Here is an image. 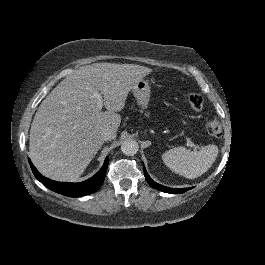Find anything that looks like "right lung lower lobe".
<instances>
[{
    "mask_svg": "<svg viewBox=\"0 0 265 265\" xmlns=\"http://www.w3.org/2000/svg\"><path fill=\"white\" fill-rule=\"evenodd\" d=\"M108 157L105 159V162L102 168L90 179L80 182V183H66V182H57L50 180L42 176L37 169L29 160L32 172L34 176L48 189L69 197H81L91 193L96 192L102 185L105 179L106 170L108 167Z\"/></svg>",
    "mask_w": 265,
    "mask_h": 265,
    "instance_id": "right-lung-lower-lobe-1",
    "label": "right lung lower lobe"
}]
</instances>
